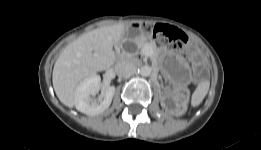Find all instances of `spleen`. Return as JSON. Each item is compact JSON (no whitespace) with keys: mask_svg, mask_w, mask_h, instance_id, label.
<instances>
[{"mask_svg":"<svg viewBox=\"0 0 261 150\" xmlns=\"http://www.w3.org/2000/svg\"><path fill=\"white\" fill-rule=\"evenodd\" d=\"M209 87H210V82L208 80L199 83V85L197 86L196 90L194 91L191 97L192 107L198 106L203 101L206 94L208 93Z\"/></svg>","mask_w":261,"mask_h":150,"instance_id":"1","label":"spleen"}]
</instances>
